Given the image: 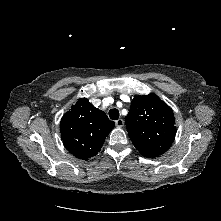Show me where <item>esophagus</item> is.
<instances>
[{"label":"esophagus","mask_w":221,"mask_h":221,"mask_svg":"<svg viewBox=\"0 0 221 221\" xmlns=\"http://www.w3.org/2000/svg\"><path fill=\"white\" fill-rule=\"evenodd\" d=\"M117 127H123L124 126V120L123 119H118L115 122Z\"/></svg>","instance_id":"esophagus-1"}]
</instances>
